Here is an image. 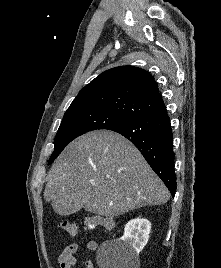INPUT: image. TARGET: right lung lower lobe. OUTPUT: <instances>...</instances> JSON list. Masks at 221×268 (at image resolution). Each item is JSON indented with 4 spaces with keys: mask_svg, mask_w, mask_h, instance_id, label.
I'll return each mask as SVG.
<instances>
[{
    "mask_svg": "<svg viewBox=\"0 0 221 268\" xmlns=\"http://www.w3.org/2000/svg\"><path fill=\"white\" fill-rule=\"evenodd\" d=\"M109 130L123 135L140 150L174 197L176 191L175 154L172 146L170 119L166 109L123 121Z\"/></svg>",
    "mask_w": 221,
    "mask_h": 268,
    "instance_id": "98d812e1",
    "label": "right lung lower lobe"
}]
</instances>
